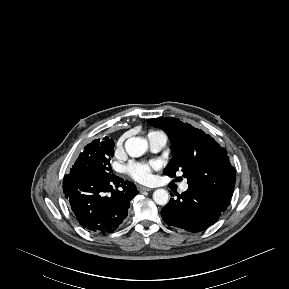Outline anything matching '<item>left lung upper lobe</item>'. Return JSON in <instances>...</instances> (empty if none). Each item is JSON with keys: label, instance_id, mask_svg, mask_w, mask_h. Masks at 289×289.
<instances>
[{"label": "left lung upper lobe", "instance_id": "5c2ea615", "mask_svg": "<svg viewBox=\"0 0 289 289\" xmlns=\"http://www.w3.org/2000/svg\"><path fill=\"white\" fill-rule=\"evenodd\" d=\"M148 123L163 129L172 143L174 155L164 170L166 175L174 177L182 170L189 188L231 199L236 173L225 148L202 130L177 118H154Z\"/></svg>", "mask_w": 289, "mask_h": 289}]
</instances>
